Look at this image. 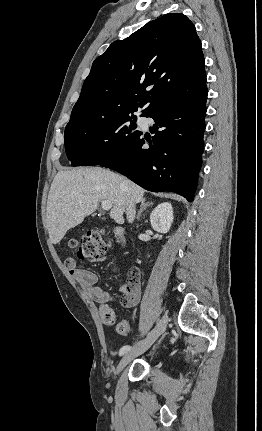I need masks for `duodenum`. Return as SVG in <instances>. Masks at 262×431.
<instances>
[{"mask_svg": "<svg viewBox=\"0 0 262 431\" xmlns=\"http://www.w3.org/2000/svg\"><path fill=\"white\" fill-rule=\"evenodd\" d=\"M114 234L118 237L121 242H124V230L121 226H116L114 228Z\"/></svg>", "mask_w": 262, "mask_h": 431, "instance_id": "duodenum-1", "label": "duodenum"}]
</instances>
